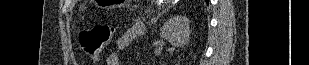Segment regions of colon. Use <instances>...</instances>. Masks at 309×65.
I'll use <instances>...</instances> for the list:
<instances>
[{
    "label": "colon",
    "mask_w": 309,
    "mask_h": 65,
    "mask_svg": "<svg viewBox=\"0 0 309 65\" xmlns=\"http://www.w3.org/2000/svg\"><path fill=\"white\" fill-rule=\"evenodd\" d=\"M116 30L113 25H95L81 31L79 43L82 50L90 59L99 60L103 50L113 42Z\"/></svg>",
    "instance_id": "5ec220e1"
}]
</instances>
